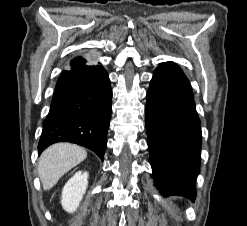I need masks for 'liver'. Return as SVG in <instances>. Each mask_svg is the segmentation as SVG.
I'll return each mask as SVG.
<instances>
[{"label": "liver", "mask_w": 247, "mask_h": 226, "mask_svg": "<svg viewBox=\"0 0 247 226\" xmlns=\"http://www.w3.org/2000/svg\"><path fill=\"white\" fill-rule=\"evenodd\" d=\"M86 157V150L78 145L57 143L48 147L41 154L38 164V175L43 189H51L65 173Z\"/></svg>", "instance_id": "liver-1"}]
</instances>
